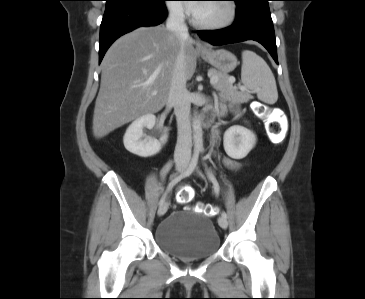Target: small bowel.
<instances>
[{"mask_svg": "<svg viewBox=\"0 0 365 299\" xmlns=\"http://www.w3.org/2000/svg\"><path fill=\"white\" fill-rule=\"evenodd\" d=\"M232 109L236 114H239V108L236 104H232ZM214 136H217V132L214 134ZM224 164L231 170H237L241 167V163L230 158H226L224 160ZM170 169V164L165 165V167L162 170L163 174H166Z\"/></svg>", "mask_w": 365, "mask_h": 299, "instance_id": "1", "label": "small bowel"}]
</instances>
